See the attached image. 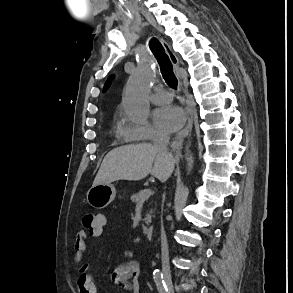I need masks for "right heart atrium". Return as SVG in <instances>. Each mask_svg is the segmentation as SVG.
<instances>
[{"label": "right heart atrium", "mask_w": 293, "mask_h": 293, "mask_svg": "<svg viewBox=\"0 0 293 293\" xmlns=\"http://www.w3.org/2000/svg\"><path fill=\"white\" fill-rule=\"evenodd\" d=\"M123 135L128 140H153L165 137L163 132L149 122L127 123Z\"/></svg>", "instance_id": "1"}]
</instances>
